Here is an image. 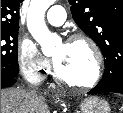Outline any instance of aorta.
Returning a JSON list of instances; mask_svg holds the SVG:
<instances>
[{"instance_id": "obj_1", "label": "aorta", "mask_w": 123, "mask_h": 113, "mask_svg": "<svg viewBox=\"0 0 123 113\" xmlns=\"http://www.w3.org/2000/svg\"><path fill=\"white\" fill-rule=\"evenodd\" d=\"M55 0H31L27 13V27L40 44L45 55L52 54L60 38L49 31L45 24V12Z\"/></svg>"}]
</instances>
